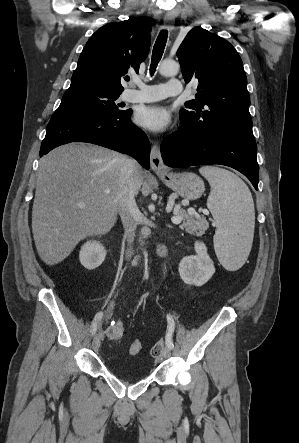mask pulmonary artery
Masks as SVG:
<instances>
[{"mask_svg": "<svg viewBox=\"0 0 299 443\" xmlns=\"http://www.w3.org/2000/svg\"><path fill=\"white\" fill-rule=\"evenodd\" d=\"M137 90H128L124 93V99L129 102H154L169 96H177L182 93V84L178 79H170L165 84L148 85L135 78L132 80Z\"/></svg>", "mask_w": 299, "mask_h": 443, "instance_id": "1", "label": "pulmonary artery"}]
</instances>
